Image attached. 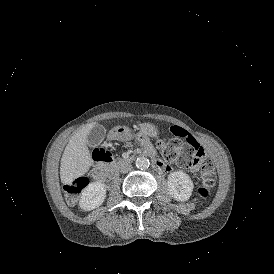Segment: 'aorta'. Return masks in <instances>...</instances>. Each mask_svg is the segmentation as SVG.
Here are the masks:
<instances>
[{"instance_id":"obj_1","label":"aorta","mask_w":274,"mask_h":274,"mask_svg":"<svg viewBox=\"0 0 274 274\" xmlns=\"http://www.w3.org/2000/svg\"><path fill=\"white\" fill-rule=\"evenodd\" d=\"M135 165L138 169L144 170L149 167L150 162L148 158L140 156L135 160Z\"/></svg>"}]
</instances>
